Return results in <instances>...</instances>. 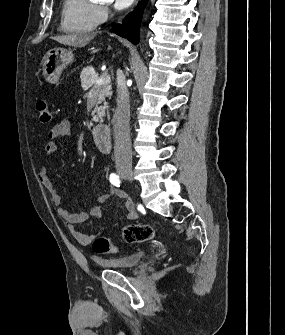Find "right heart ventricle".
Listing matches in <instances>:
<instances>
[{
  "label": "right heart ventricle",
  "mask_w": 285,
  "mask_h": 335,
  "mask_svg": "<svg viewBox=\"0 0 285 335\" xmlns=\"http://www.w3.org/2000/svg\"><path fill=\"white\" fill-rule=\"evenodd\" d=\"M96 4V1H77L72 4L68 3L66 8L73 6L85 10L87 13L75 19L66 18L64 25L73 26L79 31H92L96 27L97 23L89 12H93Z\"/></svg>",
  "instance_id": "1"
}]
</instances>
